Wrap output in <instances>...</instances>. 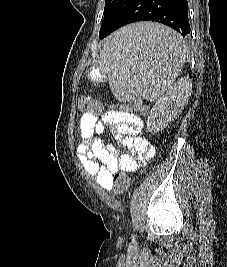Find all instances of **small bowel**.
<instances>
[{
	"label": "small bowel",
	"instance_id": "c3829d8e",
	"mask_svg": "<svg viewBox=\"0 0 227 267\" xmlns=\"http://www.w3.org/2000/svg\"><path fill=\"white\" fill-rule=\"evenodd\" d=\"M107 128L121 141L119 147L103 142L101 135ZM142 130L140 116L121 110H110L102 116L87 112L80 117L77 156L84 170L101 188L113 190L112 173H118L119 169L133 172L152 161L155 148L149 139L140 135Z\"/></svg>",
	"mask_w": 227,
	"mask_h": 267
}]
</instances>
